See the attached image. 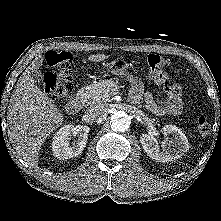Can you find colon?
Here are the masks:
<instances>
[{
  "mask_svg": "<svg viewBox=\"0 0 221 221\" xmlns=\"http://www.w3.org/2000/svg\"><path fill=\"white\" fill-rule=\"evenodd\" d=\"M174 62L171 58L158 54H150L147 58L150 73L155 81L163 87L168 85V75L163 68ZM45 65L57 70V73L49 70L44 74L43 85L46 94L54 100L64 98L72 89V54L68 51H49L45 56ZM197 129L201 135L209 134L211 131L209 120L204 116L199 117Z\"/></svg>",
  "mask_w": 221,
  "mask_h": 221,
  "instance_id": "colon-1",
  "label": "colon"
}]
</instances>
